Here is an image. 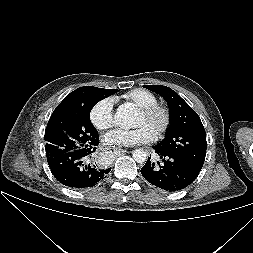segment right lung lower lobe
<instances>
[{"mask_svg":"<svg viewBox=\"0 0 253 253\" xmlns=\"http://www.w3.org/2000/svg\"><path fill=\"white\" fill-rule=\"evenodd\" d=\"M98 139L99 135L88 148L47 157L54 177L63 185L74 189L93 187L102 181L111 168H105L95 162L94 152L99 143Z\"/></svg>","mask_w":253,"mask_h":253,"instance_id":"98d812e1","label":"right lung lower lobe"}]
</instances>
